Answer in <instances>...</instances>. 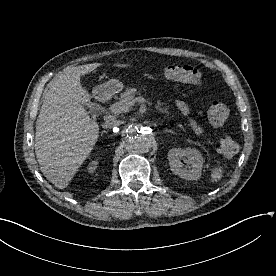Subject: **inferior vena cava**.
<instances>
[{
    "label": "inferior vena cava",
    "mask_w": 276,
    "mask_h": 276,
    "mask_svg": "<svg viewBox=\"0 0 276 276\" xmlns=\"http://www.w3.org/2000/svg\"><path fill=\"white\" fill-rule=\"evenodd\" d=\"M120 124H121V121L111 118V119H107L102 126L103 128L111 129L116 126H119Z\"/></svg>",
    "instance_id": "obj_1"
}]
</instances>
